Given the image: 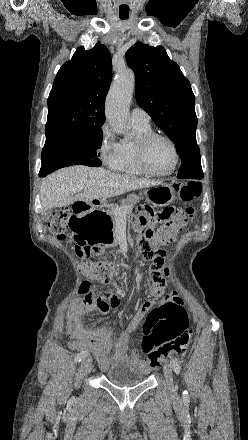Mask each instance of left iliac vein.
Wrapping results in <instances>:
<instances>
[{
    "label": "left iliac vein",
    "mask_w": 248,
    "mask_h": 440,
    "mask_svg": "<svg viewBox=\"0 0 248 440\" xmlns=\"http://www.w3.org/2000/svg\"><path fill=\"white\" fill-rule=\"evenodd\" d=\"M164 376L167 382V386L170 392L175 391L174 378H173V370L170 364H166L163 368Z\"/></svg>",
    "instance_id": "1"
}]
</instances>
